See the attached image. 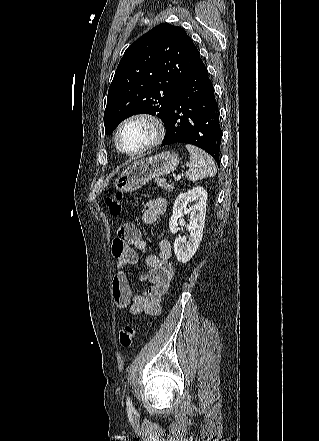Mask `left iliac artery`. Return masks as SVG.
I'll list each match as a JSON object with an SVG mask.
<instances>
[{
  "label": "left iliac artery",
  "mask_w": 319,
  "mask_h": 441,
  "mask_svg": "<svg viewBox=\"0 0 319 441\" xmlns=\"http://www.w3.org/2000/svg\"><path fill=\"white\" fill-rule=\"evenodd\" d=\"M126 405H127V409L128 410H130V411L134 410V407H133V404H132V401H131L130 397H127Z\"/></svg>",
  "instance_id": "44dca946"
}]
</instances>
